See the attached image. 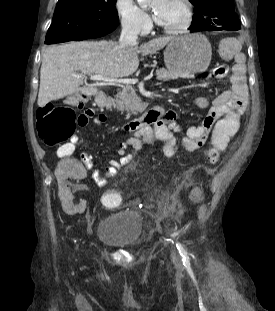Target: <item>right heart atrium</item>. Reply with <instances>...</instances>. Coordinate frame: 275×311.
<instances>
[{"instance_id":"right-heart-atrium-1","label":"right heart atrium","mask_w":275,"mask_h":311,"mask_svg":"<svg viewBox=\"0 0 275 311\" xmlns=\"http://www.w3.org/2000/svg\"><path fill=\"white\" fill-rule=\"evenodd\" d=\"M114 9L123 29L136 34H145L151 29L150 16L134 0H115Z\"/></svg>"}]
</instances>
